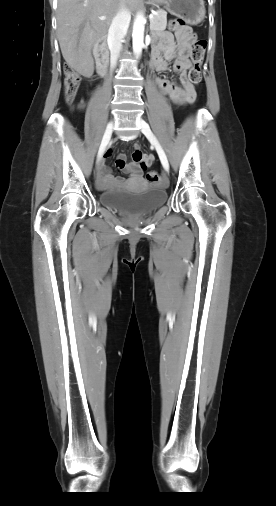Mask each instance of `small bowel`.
I'll return each instance as SVG.
<instances>
[{
  "label": "small bowel",
  "instance_id": "c3829d8e",
  "mask_svg": "<svg viewBox=\"0 0 276 506\" xmlns=\"http://www.w3.org/2000/svg\"><path fill=\"white\" fill-rule=\"evenodd\" d=\"M176 42L169 34L160 35L159 41L153 46L151 52V67L156 71H166L168 69V61L175 59L173 70L179 74L181 86L176 85L170 80L156 78L155 83L160 88L163 95L171 99L176 104H190L196 99V92L193 84L186 78V72L191 62L188 58V51L195 34L190 28L176 32ZM84 107V104H81ZM109 155V151L107 152ZM141 156L136 159V156ZM133 161L127 162L126 155L120 154L116 161L118 169L128 174L129 181H137L142 177L143 171L148 168L154 157L152 155H143L137 144L134 145L132 154ZM125 180L122 177L114 176L110 170L105 169L103 165L99 167L97 176V184L102 189L120 187L124 185Z\"/></svg>",
  "mask_w": 276,
  "mask_h": 506
}]
</instances>
